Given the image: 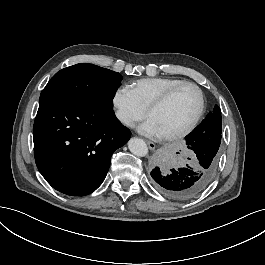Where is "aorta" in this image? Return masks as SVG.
Segmentation results:
<instances>
[{
  "label": "aorta",
  "mask_w": 265,
  "mask_h": 265,
  "mask_svg": "<svg viewBox=\"0 0 265 265\" xmlns=\"http://www.w3.org/2000/svg\"><path fill=\"white\" fill-rule=\"evenodd\" d=\"M130 152L138 157H144L148 153V147L143 139L131 138L128 141Z\"/></svg>",
  "instance_id": "aorta-1"
}]
</instances>
